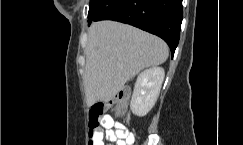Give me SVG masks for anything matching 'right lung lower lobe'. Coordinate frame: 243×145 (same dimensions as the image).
Returning a JSON list of instances; mask_svg holds the SVG:
<instances>
[{
	"label": "right lung lower lobe",
	"mask_w": 243,
	"mask_h": 145,
	"mask_svg": "<svg viewBox=\"0 0 243 145\" xmlns=\"http://www.w3.org/2000/svg\"><path fill=\"white\" fill-rule=\"evenodd\" d=\"M182 18V0H93L89 6L88 24L115 20L133 25L165 40L173 56Z\"/></svg>",
	"instance_id": "1"
}]
</instances>
